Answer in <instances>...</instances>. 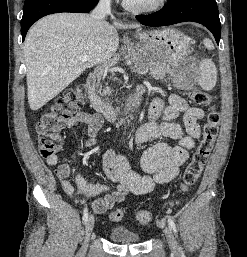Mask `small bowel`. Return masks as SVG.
Returning <instances> with one entry per match:
<instances>
[{"label":"small bowel","instance_id":"c3829d8e","mask_svg":"<svg viewBox=\"0 0 247 257\" xmlns=\"http://www.w3.org/2000/svg\"><path fill=\"white\" fill-rule=\"evenodd\" d=\"M149 121L141 125L134 133V142L144 143L150 139L170 138L177 141L171 146L159 142L149 147L142 155L141 166L146 175H140L131 169L126 157L112 149L107 150L102 157V173L112 182L117 183L116 190L108 192L106 185L90 183L80 173H76L75 182L78 191L87 196H96L105 193L91 204L97 214L111 209L117 202H121L129 194L144 195L150 193L155 184H163L173 180L179 173V167L189 157V150L194 147V141L200 136L199 121L204 116L200 108L190 107L178 95H170L167 104L161 97H156L149 108ZM182 115L185 131L173 120ZM86 127L89 139L88 146L96 143L102 120L98 115L80 112L67 120L70 129ZM62 147L67 148L61 138ZM74 158V154H72ZM49 166L56 167V174L60 179L64 192L75 196V187L69 180L70 168L60 163L58 156L46 158Z\"/></svg>","mask_w":247,"mask_h":257}]
</instances>
